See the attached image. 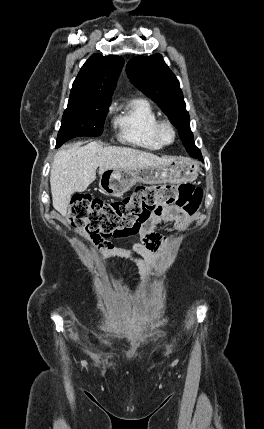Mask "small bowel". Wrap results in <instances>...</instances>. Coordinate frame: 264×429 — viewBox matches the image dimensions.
I'll return each instance as SVG.
<instances>
[{
    "label": "small bowel",
    "mask_w": 264,
    "mask_h": 429,
    "mask_svg": "<svg viewBox=\"0 0 264 429\" xmlns=\"http://www.w3.org/2000/svg\"><path fill=\"white\" fill-rule=\"evenodd\" d=\"M190 221V217L176 207H167L162 212L154 214L140 229L142 243H136L131 250L115 247L111 242L103 238H92L87 234L83 237L91 241L105 257L132 258L134 255L140 256L144 260L151 262L153 253L163 248L167 242L166 238L155 232V227L159 224H173L178 228H184Z\"/></svg>",
    "instance_id": "small-bowel-1"
}]
</instances>
